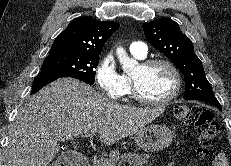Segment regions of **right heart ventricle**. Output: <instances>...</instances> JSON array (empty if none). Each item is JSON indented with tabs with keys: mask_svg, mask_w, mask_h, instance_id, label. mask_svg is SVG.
Wrapping results in <instances>:
<instances>
[{
	"mask_svg": "<svg viewBox=\"0 0 231 166\" xmlns=\"http://www.w3.org/2000/svg\"><path fill=\"white\" fill-rule=\"evenodd\" d=\"M135 58H137V59H139V60H142V59H144V58H140V57H138V56H136V55H133ZM124 78H125V80H126V82H127V84H128V93L130 94L131 93V80H130V78H129V76H124Z\"/></svg>",
	"mask_w": 231,
	"mask_h": 166,
	"instance_id": "obj_1",
	"label": "right heart ventricle"
}]
</instances>
